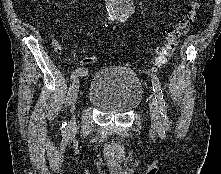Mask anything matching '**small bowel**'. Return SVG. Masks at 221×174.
<instances>
[{
	"mask_svg": "<svg viewBox=\"0 0 221 174\" xmlns=\"http://www.w3.org/2000/svg\"><path fill=\"white\" fill-rule=\"evenodd\" d=\"M53 46H54V48H55V50L56 51H61V45L59 44V42L58 41H56V40H54L53 41ZM86 70V69H85Z\"/></svg>",
	"mask_w": 221,
	"mask_h": 174,
	"instance_id": "obj_1",
	"label": "small bowel"
}]
</instances>
